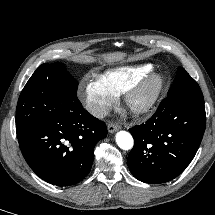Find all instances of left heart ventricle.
Wrapping results in <instances>:
<instances>
[{"label":"left heart ventricle","instance_id":"1","mask_svg":"<svg viewBox=\"0 0 215 215\" xmlns=\"http://www.w3.org/2000/svg\"><path fill=\"white\" fill-rule=\"evenodd\" d=\"M149 96V91H144L141 94H139L136 99H135V103L140 104L143 103Z\"/></svg>","mask_w":215,"mask_h":215}]
</instances>
